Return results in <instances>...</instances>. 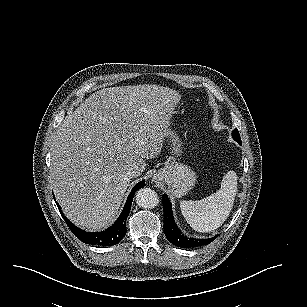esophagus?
I'll use <instances>...</instances> for the list:
<instances>
[{
	"label": "esophagus",
	"instance_id": "obj_1",
	"mask_svg": "<svg viewBox=\"0 0 307 307\" xmlns=\"http://www.w3.org/2000/svg\"><path fill=\"white\" fill-rule=\"evenodd\" d=\"M151 181H152V183H154V184H160L161 181H162V177H161V175H159V174L156 173V174L153 175Z\"/></svg>",
	"mask_w": 307,
	"mask_h": 307
}]
</instances>
